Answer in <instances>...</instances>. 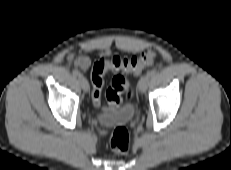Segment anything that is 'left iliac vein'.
Here are the masks:
<instances>
[{
	"label": "left iliac vein",
	"mask_w": 231,
	"mask_h": 170,
	"mask_svg": "<svg viewBox=\"0 0 231 170\" xmlns=\"http://www.w3.org/2000/svg\"><path fill=\"white\" fill-rule=\"evenodd\" d=\"M149 83H150V77L148 75L143 76L138 84L140 92L142 93L146 92Z\"/></svg>",
	"instance_id": "4c4485c4"
}]
</instances>
